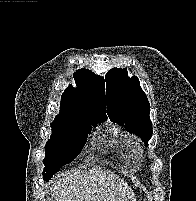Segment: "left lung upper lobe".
Returning a JSON list of instances; mask_svg holds the SVG:
<instances>
[{
    "mask_svg": "<svg viewBox=\"0 0 196 201\" xmlns=\"http://www.w3.org/2000/svg\"><path fill=\"white\" fill-rule=\"evenodd\" d=\"M109 117L126 130L142 138L145 145L151 139L150 104L136 76L128 77L127 70L113 68L105 76Z\"/></svg>",
    "mask_w": 196,
    "mask_h": 201,
    "instance_id": "left-lung-upper-lobe-1",
    "label": "left lung upper lobe"
}]
</instances>
